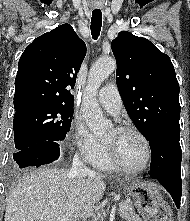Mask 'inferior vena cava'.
<instances>
[{
	"label": "inferior vena cava",
	"instance_id": "602c4592",
	"mask_svg": "<svg viewBox=\"0 0 190 221\" xmlns=\"http://www.w3.org/2000/svg\"><path fill=\"white\" fill-rule=\"evenodd\" d=\"M94 174L93 171L89 170L81 160H79L76 154L73 158L72 169L70 170L71 176H76L78 178H85L87 175Z\"/></svg>",
	"mask_w": 190,
	"mask_h": 221
}]
</instances>
